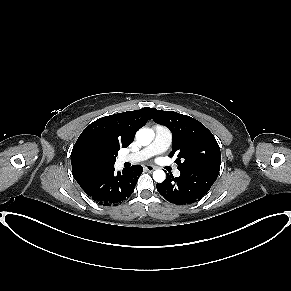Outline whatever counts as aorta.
<instances>
[{
  "mask_svg": "<svg viewBox=\"0 0 291 291\" xmlns=\"http://www.w3.org/2000/svg\"><path fill=\"white\" fill-rule=\"evenodd\" d=\"M136 139L141 145L147 146L152 142L153 138H152V134L150 133L148 129L141 128L136 133ZM165 178H166V175L163 170H156L153 172V179L156 182L161 183L165 180Z\"/></svg>",
  "mask_w": 291,
  "mask_h": 291,
  "instance_id": "obj_1",
  "label": "aorta"
}]
</instances>
